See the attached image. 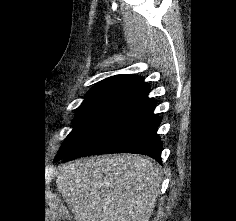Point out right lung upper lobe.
<instances>
[{
  "label": "right lung upper lobe",
  "mask_w": 236,
  "mask_h": 221,
  "mask_svg": "<svg viewBox=\"0 0 236 221\" xmlns=\"http://www.w3.org/2000/svg\"><path fill=\"white\" fill-rule=\"evenodd\" d=\"M149 87L142 77L115 75L98 82L87 95L108 93H132L138 95L149 89Z\"/></svg>",
  "instance_id": "obj_1"
}]
</instances>
